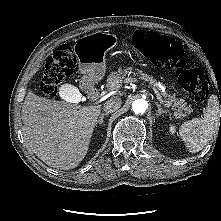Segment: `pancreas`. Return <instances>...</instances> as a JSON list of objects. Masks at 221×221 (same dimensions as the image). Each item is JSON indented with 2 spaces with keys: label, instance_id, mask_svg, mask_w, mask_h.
Masks as SVG:
<instances>
[{
  "label": "pancreas",
  "instance_id": "pancreas-1",
  "mask_svg": "<svg viewBox=\"0 0 221 221\" xmlns=\"http://www.w3.org/2000/svg\"><path fill=\"white\" fill-rule=\"evenodd\" d=\"M131 73V68L119 70L118 72H112L107 78L106 86L108 88H119L123 83H125L126 79L130 78L129 76ZM133 74L135 75V73ZM136 74L144 83H147L153 87H157V82L152 76L143 73L140 70H138ZM164 96L167 97V105L175 108L178 118L185 117L191 114L193 111L191 106H187V103L184 99H178L169 94H165Z\"/></svg>",
  "mask_w": 221,
  "mask_h": 221
}]
</instances>
